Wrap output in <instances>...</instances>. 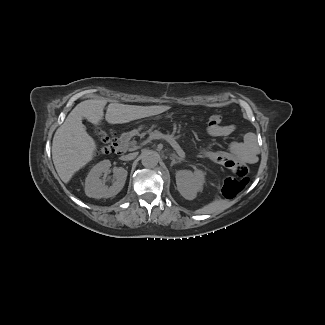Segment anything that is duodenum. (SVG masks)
<instances>
[{
  "mask_svg": "<svg viewBox=\"0 0 325 325\" xmlns=\"http://www.w3.org/2000/svg\"><path fill=\"white\" fill-rule=\"evenodd\" d=\"M129 137L126 134L121 135L114 144L115 153L122 155L127 151Z\"/></svg>",
  "mask_w": 325,
  "mask_h": 325,
  "instance_id": "1",
  "label": "duodenum"
}]
</instances>
